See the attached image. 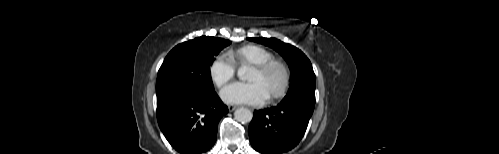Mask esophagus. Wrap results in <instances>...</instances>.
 Segmentation results:
<instances>
[{
	"instance_id": "obj_1",
	"label": "esophagus",
	"mask_w": 499,
	"mask_h": 154,
	"mask_svg": "<svg viewBox=\"0 0 499 154\" xmlns=\"http://www.w3.org/2000/svg\"><path fill=\"white\" fill-rule=\"evenodd\" d=\"M236 108H237V106H235V105H229V106H228V110H229L230 112L234 111Z\"/></svg>"
}]
</instances>
